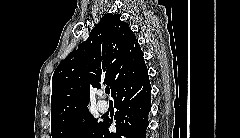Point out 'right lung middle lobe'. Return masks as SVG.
<instances>
[{
    "instance_id": "obj_1",
    "label": "right lung middle lobe",
    "mask_w": 240,
    "mask_h": 138,
    "mask_svg": "<svg viewBox=\"0 0 240 138\" xmlns=\"http://www.w3.org/2000/svg\"><path fill=\"white\" fill-rule=\"evenodd\" d=\"M102 122L93 118L89 110L51 126L52 138H94Z\"/></svg>"
}]
</instances>
